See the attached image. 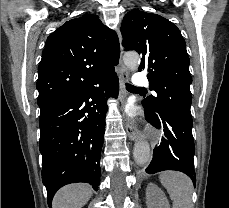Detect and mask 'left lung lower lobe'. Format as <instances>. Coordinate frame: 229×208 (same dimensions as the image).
Masks as SVG:
<instances>
[{"mask_svg":"<svg viewBox=\"0 0 229 208\" xmlns=\"http://www.w3.org/2000/svg\"><path fill=\"white\" fill-rule=\"evenodd\" d=\"M146 120L162 128L165 137L153 151V159L146 168L148 174L164 170L181 171L188 175L195 186L194 141L192 119L170 111L153 110L144 106Z\"/></svg>","mask_w":229,"mask_h":208,"instance_id":"left-lung-lower-lobe-1","label":"left lung lower lobe"}]
</instances>
